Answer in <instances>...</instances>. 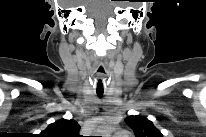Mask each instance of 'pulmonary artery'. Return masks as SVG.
Listing matches in <instances>:
<instances>
[{"mask_svg":"<svg viewBox=\"0 0 206 137\" xmlns=\"http://www.w3.org/2000/svg\"><path fill=\"white\" fill-rule=\"evenodd\" d=\"M113 137H129L126 132H117Z\"/></svg>","mask_w":206,"mask_h":137,"instance_id":"e3ab8cb5","label":"pulmonary artery"}]
</instances>
